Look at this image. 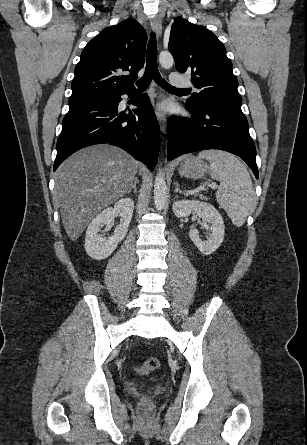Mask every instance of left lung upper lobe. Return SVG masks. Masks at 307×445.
<instances>
[{
  "label": "left lung upper lobe",
  "instance_id": "left-lung-upper-lobe-1",
  "mask_svg": "<svg viewBox=\"0 0 307 445\" xmlns=\"http://www.w3.org/2000/svg\"><path fill=\"white\" fill-rule=\"evenodd\" d=\"M169 51L177 70L191 71L194 87L200 90L187 99L188 109L221 107L241 111L242 99L232 63L215 34L204 26L177 17L171 28Z\"/></svg>",
  "mask_w": 307,
  "mask_h": 445
}]
</instances>
